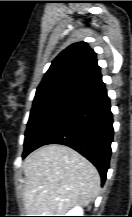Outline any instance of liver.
Instances as JSON below:
<instances>
[{
    "mask_svg": "<svg viewBox=\"0 0 132 217\" xmlns=\"http://www.w3.org/2000/svg\"><path fill=\"white\" fill-rule=\"evenodd\" d=\"M24 205L29 216H62L75 206H87L99 194L95 166L64 145L43 146L26 157Z\"/></svg>",
    "mask_w": 132,
    "mask_h": 217,
    "instance_id": "obj_1",
    "label": "liver"
}]
</instances>
